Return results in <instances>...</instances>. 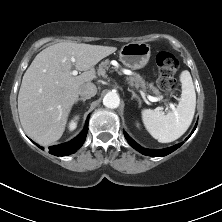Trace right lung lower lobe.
<instances>
[{
	"mask_svg": "<svg viewBox=\"0 0 222 222\" xmlns=\"http://www.w3.org/2000/svg\"><path fill=\"white\" fill-rule=\"evenodd\" d=\"M87 125H88V120L86 121L85 128L76 138L64 144L49 147V153L56 156H66V155L74 153L77 149H79L83 145L86 139V135L88 132ZM38 147L43 149L40 146Z\"/></svg>",
	"mask_w": 222,
	"mask_h": 222,
	"instance_id": "right-lung-lower-lobe-1",
	"label": "right lung lower lobe"
}]
</instances>
